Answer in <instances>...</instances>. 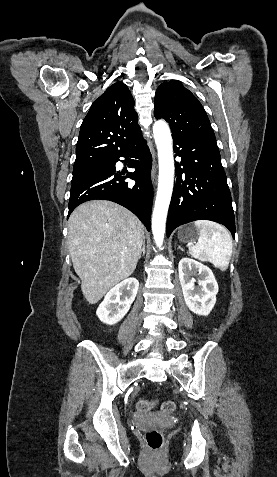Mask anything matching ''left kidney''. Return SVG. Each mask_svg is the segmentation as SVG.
Masks as SVG:
<instances>
[{
	"label": "left kidney",
	"instance_id": "obj_1",
	"mask_svg": "<svg viewBox=\"0 0 277 477\" xmlns=\"http://www.w3.org/2000/svg\"><path fill=\"white\" fill-rule=\"evenodd\" d=\"M179 279L183 296L188 308L195 314L207 316L216 303L218 284L213 272L202 263L183 258L178 265ZM198 274V286H195L193 275Z\"/></svg>",
	"mask_w": 277,
	"mask_h": 477
}]
</instances>
